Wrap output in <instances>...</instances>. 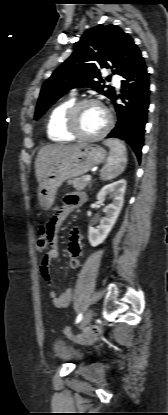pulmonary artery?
I'll return each instance as SVG.
<instances>
[{
	"label": "pulmonary artery",
	"instance_id": "obj_1",
	"mask_svg": "<svg viewBox=\"0 0 168 415\" xmlns=\"http://www.w3.org/2000/svg\"><path fill=\"white\" fill-rule=\"evenodd\" d=\"M113 82H114V85H115L117 88H119V87H120V78H119V76L114 75V76H113Z\"/></svg>",
	"mask_w": 168,
	"mask_h": 415
}]
</instances>
